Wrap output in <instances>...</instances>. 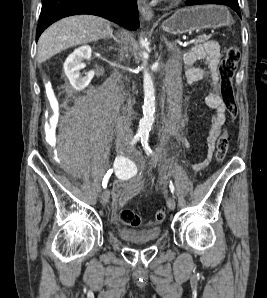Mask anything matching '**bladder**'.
I'll return each instance as SVG.
<instances>
[{"label": "bladder", "instance_id": "1", "mask_svg": "<svg viewBox=\"0 0 267 298\" xmlns=\"http://www.w3.org/2000/svg\"><path fill=\"white\" fill-rule=\"evenodd\" d=\"M120 239L132 244H147L156 241L161 235V228L154 227L146 231L120 228L117 231Z\"/></svg>", "mask_w": 267, "mask_h": 298}]
</instances>
